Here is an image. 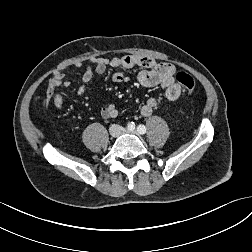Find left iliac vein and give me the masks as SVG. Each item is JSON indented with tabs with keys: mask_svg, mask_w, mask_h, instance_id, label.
I'll use <instances>...</instances> for the list:
<instances>
[{
	"mask_svg": "<svg viewBox=\"0 0 252 252\" xmlns=\"http://www.w3.org/2000/svg\"><path fill=\"white\" fill-rule=\"evenodd\" d=\"M130 133L137 134L135 130H131Z\"/></svg>",
	"mask_w": 252,
	"mask_h": 252,
	"instance_id": "left-iliac-vein-1",
	"label": "left iliac vein"
}]
</instances>
